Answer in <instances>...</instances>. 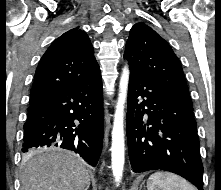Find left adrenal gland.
I'll return each mask as SVG.
<instances>
[{"instance_id": "a2214340", "label": "left adrenal gland", "mask_w": 221, "mask_h": 190, "mask_svg": "<svg viewBox=\"0 0 221 190\" xmlns=\"http://www.w3.org/2000/svg\"><path fill=\"white\" fill-rule=\"evenodd\" d=\"M142 185H144V182L140 185V187H142ZM144 190H146L145 186H144Z\"/></svg>"}]
</instances>
